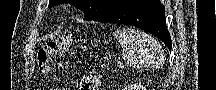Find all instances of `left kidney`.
Segmentation results:
<instances>
[{
    "label": "left kidney",
    "instance_id": "left-kidney-1",
    "mask_svg": "<svg viewBox=\"0 0 216 90\" xmlns=\"http://www.w3.org/2000/svg\"><path fill=\"white\" fill-rule=\"evenodd\" d=\"M124 90H146V88L141 86V84H129V86H126Z\"/></svg>",
    "mask_w": 216,
    "mask_h": 90
}]
</instances>
